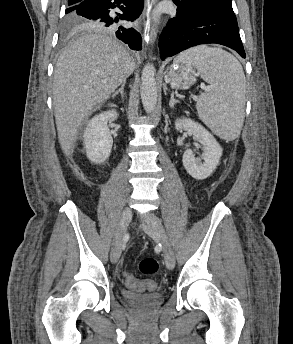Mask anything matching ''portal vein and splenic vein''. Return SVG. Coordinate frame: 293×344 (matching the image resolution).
Instances as JSON below:
<instances>
[{
	"label": "portal vein and splenic vein",
	"mask_w": 293,
	"mask_h": 344,
	"mask_svg": "<svg viewBox=\"0 0 293 344\" xmlns=\"http://www.w3.org/2000/svg\"><path fill=\"white\" fill-rule=\"evenodd\" d=\"M204 90H205V91H209V90H210V87H204Z\"/></svg>",
	"instance_id": "portal-vein-and-splenic-vein-1"
}]
</instances>
